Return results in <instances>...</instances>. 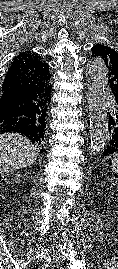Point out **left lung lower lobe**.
Returning a JSON list of instances; mask_svg holds the SVG:
<instances>
[{
    "mask_svg": "<svg viewBox=\"0 0 118 269\" xmlns=\"http://www.w3.org/2000/svg\"><path fill=\"white\" fill-rule=\"evenodd\" d=\"M108 138L102 156L118 154V98L113 99L111 111L109 113Z\"/></svg>",
    "mask_w": 118,
    "mask_h": 269,
    "instance_id": "left-lung-lower-lobe-1",
    "label": "left lung lower lobe"
}]
</instances>
